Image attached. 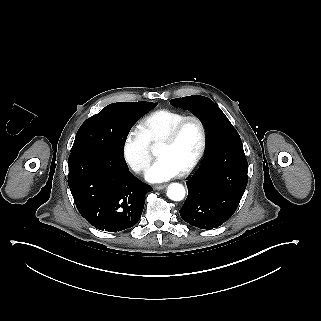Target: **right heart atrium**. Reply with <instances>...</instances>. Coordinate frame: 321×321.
<instances>
[{
    "label": "right heart atrium",
    "instance_id": "right-heart-atrium-1",
    "mask_svg": "<svg viewBox=\"0 0 321 321\" xmlns=\"http://www.w3.org/2000/svg\"><path fill=\"white\" fill-rule=\"evenodd\" d=\"M148 139L141 128H130L122 141V156L127 165L135 172L142 173L148 166Z\"/></svg>",
    "mask_w": 321,
    "mask_h": 321
}]
</instances>
